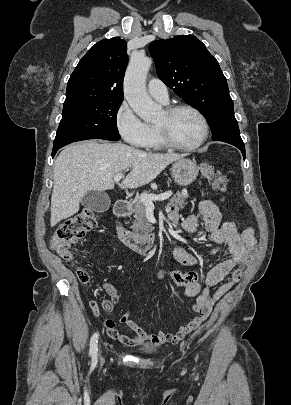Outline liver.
Wrapping results in <instances>:
<instances>
[{"label":"liver","instance_id":"obj_1","mask_svg":"<svg viewBox=\"0 0 291 405\" xmlns=\"http://www.w3.org/2000/svg\"><path fill=\"white\" fill-rule=\"evenodd\" d=\"M180 154L148 153L122 143L86 141L63 149L54 164L51 226L79 211L88 191L113 189V177L127 168L121 189L138 188L154 180Z\"/></svg>","mask_w":291,"mask_h":405}]
</instances>
